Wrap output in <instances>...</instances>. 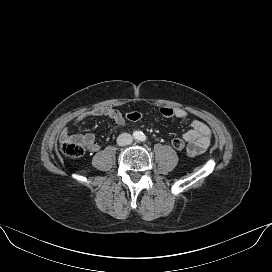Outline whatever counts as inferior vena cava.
Segmentation results:
<instances>
[{"instance_id":"602c4592","label":"inferior vena cava","mask_w":272,"mask_h":272,"mask_svg":"<svg viewBox=\"0 0 272 272\" xmlns=\"http://www.w3.org/2000/svg\"><path fill=\"white\" fill-rule=\"evenodd\" d=\"M133 141V138L130 134L128 133H122L118 136L117 138V144L119 146H126V145H129L131 144Z\"/></svg>"}]
</instances>
